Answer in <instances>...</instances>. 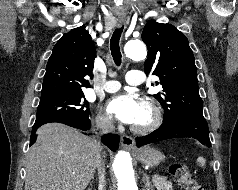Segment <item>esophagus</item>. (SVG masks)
<instances>
[{
  "mask_svg": "<svg viewBox=\"0 0 238 190\" xmlns=\"http://www.w3.org/2000/svg\"><path fill=\"white\" fill-rule=\"evenodd\" d=\"M123 23H124V18H118L117 19L118 26H121ZM121 145H122L123 148L133 149L134 139L131 136L122 135L121 136Z\"/></svg>",
  "mask_w": 238,
  "mask_h": 190,
  "instance_id": "obj_1",
  "label": "esophagus"
}]
</instances>
